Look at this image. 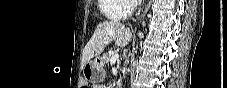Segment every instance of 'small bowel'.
<instances>
[{"label":"small bowel","instance_id":"obj_1","mask_svg":"<svg viewBox=\"0 0 227 88\" xmlns=\"http://www.w3.org/2000/svg\"><path fill=\"white\" fill-rule=\"evenodd\" d=\"M96 87H97V88H100V87H103V86H101V85H97Z\"/></svg>","mask_w":227,"mask_h":88}]
</instances>
